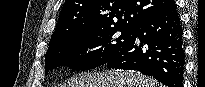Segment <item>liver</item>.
Masks as SVG:
<instances>
[{
  "instance_id": "1",
  "label": "liver",
  "mask_w": 205,
  "mask_h": 87,
  "mask_svg": "<svg viewBox=\"0 0 205 87\" xmlns=\"http://www.w3.org/2000/svg\"><path fill=\"white\" fill-rule=\"evenodd\" d=\"M62 87H161L153 78L138 72L110 70L82 74Z\"/></svg>"
}]
</instances>
